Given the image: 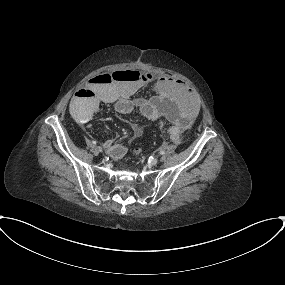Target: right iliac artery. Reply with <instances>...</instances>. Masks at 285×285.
<instances>
[{"instance_id": "obj_1", "label": "right iliac artery", "mask_w": 285, "mask_h": 285, "mask_svg": "<svg viewBox=\"0 0 285 285\" xmlns=\"http://www.w3.org/2000/svg\"><path fill=\"white\" fill-rule=\"evenodd\" d=\"M92 144L96 145L97 141L96 140H92Z\"/></svg>"}]
</instances>
